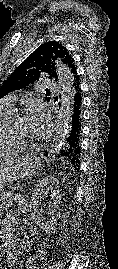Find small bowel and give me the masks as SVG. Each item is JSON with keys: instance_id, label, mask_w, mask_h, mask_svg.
Instances as JSON below:
<instances>
[{"instance_id": "obj_1", "label": "small bowel", "mask_w": 118, "mask_h": 269, "mask_svg": "<svg viewBox=\"0 0 118 269\" xmlns=\"http://www.w3.org/2000/svg\"><path fill=\"white\" fill-rule=\"evenodd\" d=\"M12 202L7 206L2 204L0 208V252L4 253L7 263H14L21 253L27 252L31 248V243L28 240H19L14 243V214L11 210ZM34 231V230H33ZM0 269H3L0 267Z\"/></svg>"}]
</instances>
